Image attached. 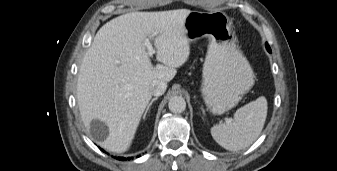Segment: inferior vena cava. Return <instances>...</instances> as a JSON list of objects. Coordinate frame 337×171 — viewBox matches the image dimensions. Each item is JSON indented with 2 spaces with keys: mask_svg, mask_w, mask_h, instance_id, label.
<instances>
[{
  "mask_svg": "<svg viewBox=\"0 0 337 171\" xmlns=\"http://www.w3.org/2000/svg\"><path fill=\"white\" fill-rule=\"evenodd\" d=\"M167 84L164 81L155 80L150 85V92L154 96H161L166 91Z\"/></svg>",
  "mask_w": 337,
  "mask_h": 171,
  "instance_id": "1",
  "label": "inferior vena cava"
}]
</instances>
